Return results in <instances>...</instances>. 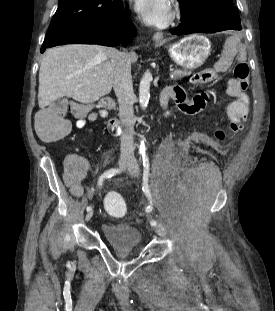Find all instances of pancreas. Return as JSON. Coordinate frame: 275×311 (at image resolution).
Segmentation results:
<instances>
[{"label":"pancreas","mask_w":275,"mask_h":311,"mask_svg":"<svg viewBox=\"0 0 275 311\" xmlns=\"http://www.w3.org/2000/svg\"><path fill=\"white\" fill-rule=\"evenodd\" d=\"M191 72H188V71H181V70H177L175 72H173L171 74V78L173 80H178V79H181L182 77L186 76V75H189Z\"/></svg>","instance_id":"obj_1"}]
</instances>
